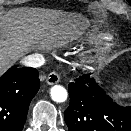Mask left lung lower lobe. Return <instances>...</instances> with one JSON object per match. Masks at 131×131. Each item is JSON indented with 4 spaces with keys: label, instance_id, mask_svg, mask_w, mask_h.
I'll return each mask as SVG.
<instances>
[{
    "label": "left lung lower lobe",
    "instance_id": "left-lung-lower-lobe-1",
    "mask_svg": "<svg viewBox=\"0 0 131 131\" xmlns=\"http://www.w3.org/2000/svg\"><path fill=\"white\" fill-rule=\"evenodd\" d=\"M68 88L64 118L69 131H131V107L115 103L88 74Z\"/></svg>",
    "mask_w": 131,
    "mask_h": 131
}]
</instances>
